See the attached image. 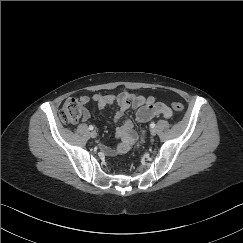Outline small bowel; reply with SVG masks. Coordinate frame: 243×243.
<instances>
[{"label": "small bowel", "instance_id": "1", "mask_svg": "<svg viewBox=\"0 0 243 243\" xmlns=\"http://www.w3.org/2000/svg\"><path fill=\"white\" fill-rule=\"evenodd\" d=\"M82 103L96 104L99 108L112 107L114 109V120L121 121V125L116 130V137L119 143L113 147L102 145L101 151L106 155H120L128 152L132 147L138 148L141 140L133 129V121L128 115L130 109H137L135 120L137 123H145L155 116L170 118L171 109L164 103L157 102L153 96H143L138 93L126 91L117 94H94L82 96ZM90 118V112L84 110L82 119L87 121Z\"/></svg>", "mask_w": 243, "mask_h": 243}]
</instances>
